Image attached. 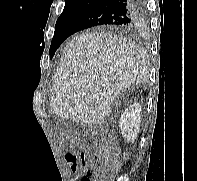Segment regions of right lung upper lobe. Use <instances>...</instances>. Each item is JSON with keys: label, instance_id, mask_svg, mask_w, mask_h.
I'll return each mask as SVG.
<instances>
[{"label": "right lung upper lobe", "instance_id": "1", "mask_svg": "<svg viewBox=\"0 0 197 181\" xmlns=\"http://www.w3.org/2000/svg\"><path fill=\"white\" fill-rule=\"evenodd\" d=\"M100 0H65L64 10H70L81 6L91 7ZM136 27V26H135ZM135 27H121L120 30L129 31Z\"/></svg>", "mask_w": 197, "mask_h": 181}]
</instances>
